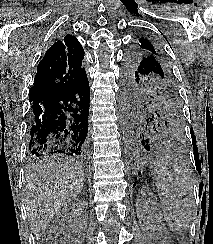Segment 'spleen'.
Wrapping results in <instances>:
<instances>
[{"label":"spleen","mask_w":213,"mask_h":244,"mask_svg":"<svg viewBox=\"0 0 213 244\" xmlns=\"http://www.w3.org/2000/svg\"><path fill=\"white\" fill-rule=\"evenodd\" d=\"M153 175L168 227L175 233L185 232L195 203L186 170L174 158L160 156L154 162Z\"/></svg>","instance_id":"obj_1"}]
</instances>
